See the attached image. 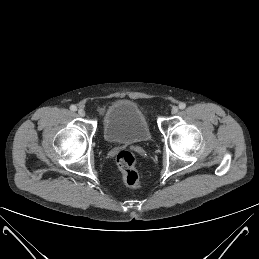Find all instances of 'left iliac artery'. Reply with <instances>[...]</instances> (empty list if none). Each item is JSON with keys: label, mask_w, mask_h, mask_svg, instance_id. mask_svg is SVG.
Returning a JSON list of instances; mask_svg holds the SVG:
<instances>
[{"label": "left iliac artery", "mask_w": 259, "mask_h": 259, "mask_svg": "<svg viewBox=\"0 0 259 259\" xmlns=\"http://www.w3.org/2000/svg\"><path fill=\"white\" fill-rule=\"evenodd\" d=\"M185 107H186V104H185V103L181 102V103L179 104V108H180V109H185Z\"/></svg>", "instance_id": "obj_1"}]
</instances>
